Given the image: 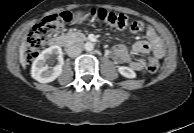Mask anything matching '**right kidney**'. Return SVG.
Wrapping results in <instances>:
<instances>
[{
	"label": "right kidney",
	"instance_id": "1",
	"mask_svg": "<svg viewBox=\"0 0 194 133\" xmlns=\"http://www.w3.org/2000/svg\"><path fill=\"white\" fill-rule=\"evenodd\" d=\"M53 57H56L57 64L51 68L46 62ZM63 64V53L60 46H51L42 51L34 60L31 76L40 83L52 82L61 75Z\"/></svg>",
	"mask_w": 194,
	"mask_h": 133
}]
</instances>
